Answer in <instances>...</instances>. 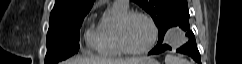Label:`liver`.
Returning a JSON list of instances; mask_svg holds the SVG:
<instances>
[{"instance_id":"liver-1","label":"liver","mask_w":242,"mask_h":64,"mask_svg":"<svg viewBox=\"0 0 242 64\" xmlns=\"http://www.w3.org/2000/svg\"><path fill=\"white\" fill-rule=\"evenodd\" d=\"M149 58L139 57L131 59H110V58H71L62 64H142Z\"/></svg>"}]
</instances>
